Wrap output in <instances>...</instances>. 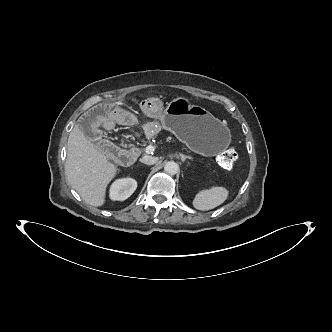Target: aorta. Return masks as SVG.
<instances>
[{
  "label": "aorta",
  "instance_id": "obj_1",
  "mask_svg": "<svg viewBox=\"0 0 332 332\" xmlns=\"http://www.w3.org/2000/svg\"><path fill=\"white\" fill-rule=\"evenodd\" d=\"M164 170L170 175H175L179 171V165L174 161H169L165 164Z\"/></svg>",
  "mask_w": 332,
  "mask_h": 332
}]
</instances>
